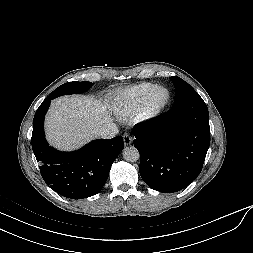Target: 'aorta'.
<instances>
[{"mask_svg": "<svg viewBox=\"0 0 253 253\" xmlns=\"http://www.w3.org/2000/svg\"><path fill=\"white\" fill-rule=\"evenodd\" d=\"M122 155L127 162H136L140 157L138 149L134 146L125 147Z\"/></svg>", "mask_w": 253, "mask_h": 253, "instance_id": "762f6f07", "label": "aorta"}]
</instances>
